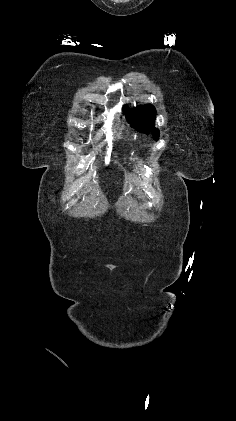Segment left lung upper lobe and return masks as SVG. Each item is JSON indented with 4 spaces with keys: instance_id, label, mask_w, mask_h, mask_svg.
I'll use <instances>...</instances> for the list:
<instances>
[{
    "instance_id": "5c2ea615",
    "label": "left lung upper lobe",
    "mask_w": 236,
    "mask_h": 421,
    "mask_svg": "<svg viewBox=\"0 0 236 421\" xmlns=\"http://www.w3.org/2000/svg\"><path fill=\"white\" fill-rule=\"evenodd\" d=\"M125 113L131 126L139 132L152 133L155 140L159 138V130L155 128L156 110L153 105L137 106L131 111L126 106Z\"/></svg>"
}]
</instances>
